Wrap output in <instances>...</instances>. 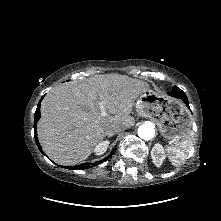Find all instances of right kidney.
I'll use <instances>...</instances> for the list:
<instances>
[{"mask_svg":"<svg viewBox=\"0 0 221 221\" xmlns=\"http://www.w3.org/2000/svg\"><path fill=\"white\" fill-rule=\"evenodd\" d=\"M109 141H103L98 143L95 148H94V152L96 155H102L103 153L106 152L108 146H109Z\"/></svg>","mask_w":221,"mask_h":221,"instance_id":"ca27d5eb","label":"right kidney"}]
</instances>
